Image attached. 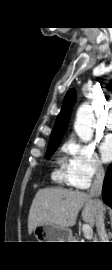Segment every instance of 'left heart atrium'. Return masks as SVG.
Here are the masks:
<instances>
[{"label": "left heart atrium", "instance_id": "39dd6f15", "mask_svg": "<svg viewBox=\"0 0 112 270\" xmlns=\"http://www.w3.org/2000/svg\"><path fill=\"white\" fill-rule=\"evenodd\" d=\"M100 152L104 161L112 160V136H108L100 145Z\"/></svg>", "mask_w": 112, "mask_h": 270}]
</instances>
